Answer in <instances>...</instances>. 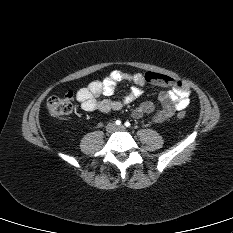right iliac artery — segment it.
Segmentation results:
<instances>
[{
	"instance_id": "right-iliac-artery-1",
	"label": "right iliac artery",
	"mask_w": 233,
	"mask_h": 233,
	"mask_svg": "<svg viewBox=\"0 0 233 233\" xmlns=\"http://www.w3.org/2000/svg\"><path fill=\"white\" fill-rule=\"evenodd\" d=\"M115 124L116 125H121V121L120 120H116Z\"/></svg>"
}]
</instances>
